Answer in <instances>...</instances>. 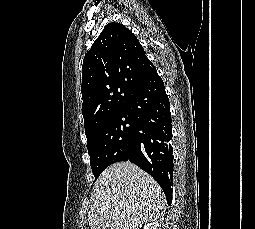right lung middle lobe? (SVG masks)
I'll use <instances>...</instances> for the list:
<instances>
[{
  "label": "right lung middle lobe",
  "mask_w": 255,
  "mask_h": 229,
  "mask_svg": "<svg viewBox=\"0 0 255 229\" xmlns=\"http://www.w3.org/2000/svg\"><path fill=\"white\" fill-rule=\"evenodd\" d=\"M135 120L125 111L114 115L87 138L90 165L95 178L111 164L129 158Z\"/></svg>",
  "instance_id": "1"
}]
</instances>
